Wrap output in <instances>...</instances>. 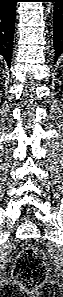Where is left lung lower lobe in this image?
<instances>
[{
  "instance_id": "0a47b994",
  "label": "left lung lower lobe",
  "mask_w": 63,
  "mask_h": 297,
  "mask_svg": "<svg viewBox=\"0 0 63 297\" xmlns=\"http://www.w3.org/2000/svg\"><path fill=\"white\" fill-rule=\"evenodd\" d=\"M54 3V49L55 61L63 54V0H47Z\"/></svg>"
}]
</instances>
